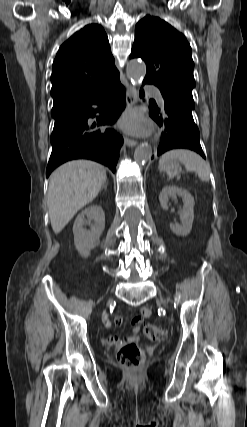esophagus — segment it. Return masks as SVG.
Listing matches in <instances>:
<instances>
[{"label":"esophagus","mask_w":247,"mask_h":427,"mask_svg":"<svg viewBox=\"0 0 247 427\" xmlns=\"http://www.w3.org/2000/svg\"><path fill=\"white\" fill-rule=\"evenodd\" d=\"M137 102V90L134 86L129 85L127 87V91H126V103H127V107L130 108L132 107L135 103ZM125 143L129 146V147H134L137 145V141L133 140L131 138L126 137L125 138Z\"/></svg>","instance_id":"esophagus-1"}]
</instances>
